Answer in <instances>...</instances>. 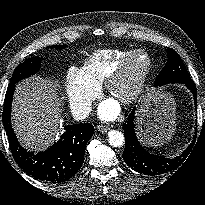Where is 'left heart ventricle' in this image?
Instances as JSON below:
<instances>
[{
    "instance_id": "1",
    "label": "left heart ventricle",
    "mask_w": 205,
    "mask_h": 205,
    "mask_svg": "<svg viewBox=\"0 0 205 205\" xmlns=\"http://www.w3.org/2000/svg\"><path fill=\"white\" fill-rule=\"evenodd\" d=\"M146 65V57L143 54L136 56L127 70L124 78L117 84L115 88V93L118 96L126 95L135 81L138 79L141 71L144 69Z\"/></svg>"
}]
</instances>
